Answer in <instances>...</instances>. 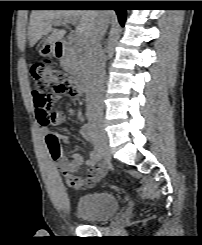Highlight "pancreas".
<instances>
[{
    "label": "pancreas",
    "instance_id": "1",
    "mask_svg": "<svg viewBox=\"0 0 202 245\" xmlns=\"http://www.w3.org/2000/svg\"><path fill=\"white\" fill-rule=\"evenodd\" d=\"M61 66L71 75L81 74L84 70L81 49L76 45L71 46L61 60Z\"/></svg>",
    "mask_w": 202,
    "mask_h": 245
}]
</instances>
